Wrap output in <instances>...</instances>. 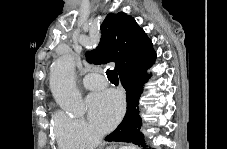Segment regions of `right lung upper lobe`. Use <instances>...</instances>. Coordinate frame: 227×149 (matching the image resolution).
I'll list each match as a JSON object with an SVG mask.
<instances>
[{"mask_svg": "<svg viewBox=\"0 0 227 149\" xmlns=\"http://www.w3.org/2000/svg\"><path fill=\"white\" fill-rule=\"evenodd\" d=\"M101 34L98 48L87 52L91 63L116 62L115 69L120 74L156 58L146 33L131 16L123 12L108 14L101 24Z\"/></svg>", "mask_w": 227, "mask_h": 149, "instance_id": "right-lung-upper-lobe-1", "label": "right lung upper lobe"}]
</instances>
